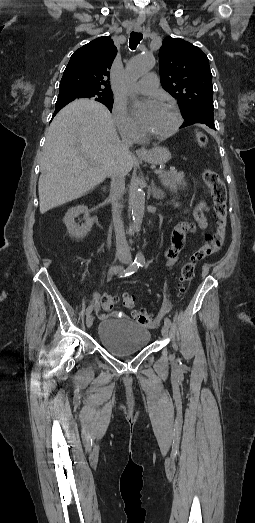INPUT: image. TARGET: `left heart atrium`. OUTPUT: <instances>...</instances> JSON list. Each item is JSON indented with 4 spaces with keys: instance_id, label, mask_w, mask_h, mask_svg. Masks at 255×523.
<instances>
[{
    "instance_id": "obj_1",
    "label": "left heart atrium",
    "mask_w": 255,
    "mask_h": 523,
    "mask_svg": "<svg viewBox=\"0 0 255 523\" xmlns=\"http://www.w3.org/2000/svg\"><path fill=\"white\" fill-rule=\"evenodd\" d=\"M153 109H154L153 106H145V105H141L136 109V112H135L136 118L140 124H142V125L145 124V122L147 121V119Z\"/></svg>"
}]
</instances>
